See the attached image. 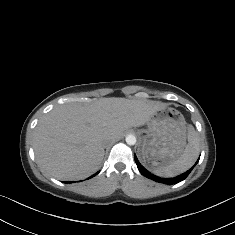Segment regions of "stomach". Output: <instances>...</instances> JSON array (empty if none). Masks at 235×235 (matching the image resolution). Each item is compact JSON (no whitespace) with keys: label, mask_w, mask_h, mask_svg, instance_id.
<instances>
[{"label":"stomach","mask_w":235,"mask_h":235,"mask_svg":"<svg viewBox=\"0 0 235 235\" xmlns=\"http://www.w3.org/2000/svg\"><path fill=\"white\" fill-rule=\"evenodd\" d=\"M141 140L138 154L146 167L155 169L179 158L186 147L187 124L174 108L154 112L147 128L137 130Z\"/></svg>","instance_id":"0dacf381"}]
</instances>
